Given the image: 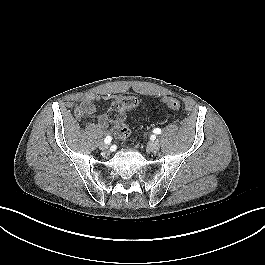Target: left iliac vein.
Returning <instances> with one entry per match:
<instances>
[{
	"mask_svg": "<svg viewBox=\"0 0 265 265\" xmlns=\"http://www.w3.org/2000/svg\"><path fill=\"white\" fill-rule=\"evenodd\" d=\"M160 149V144L158 141H153L149 144V150L156 153Z\"/></svg>",
	"mask_w": 265,
	"mask_h": 265,
	"instance_id": "1",
	"label": "left iliac vein"
}]
</instances>
